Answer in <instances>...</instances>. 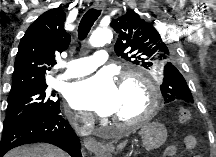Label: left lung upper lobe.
Segmentation results:
<instances>
[{"label":"left lung upper lobe","instance_id":"left-lung-upper-lobe-1","mask_svg":"<svg viewBox=\"0 0 216 157\" xmlns=\"http://www.w3.org/2000/svg\"><path fill=\"white\" fill-rule=\"evenodd\" d=\"M110 25L118 34L114 50L119 56L164 75L160 90L166 103L178 100L194 102L182 76L181 64H178L177 49L171 45L174 39L158 33L163 32V27H154V23L146 22L134 11L113 19Z\"/></svg>","mask_w":216,"mask_h":157}]
</instances>
